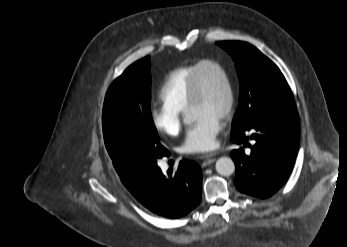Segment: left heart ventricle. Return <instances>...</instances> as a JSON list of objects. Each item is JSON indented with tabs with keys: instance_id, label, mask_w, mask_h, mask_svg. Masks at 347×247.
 Listing matches in <instances>:
<instances>
[{
	"instance_id": "left-heart-ventricle-1",
	"label": "left heart ventricle",
	"mask_w": 347,
	"mask_h": 247,
	"mask_svg": "<svg viewBox=\"0 0 347 247\" xmlns=\"http://www.w3.org/2000/svg\"><path fill=\"white\" fill-rule=\"evenodd\" d=\"M202 94L199 102L188 108L193 119L203 115L222 118L227 103V88L222 74L213 67L201 70Z\"/></svg>"
}]
</instances>
